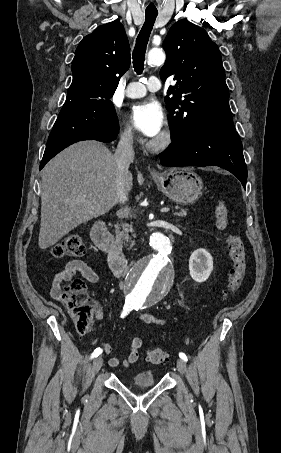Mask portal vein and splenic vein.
Listing matches in <instances>:
<instances>
[{"label":"portal vein and splenic vein","mask_w":281,"mask_h":453,"mask_svg":"<svg viewBox=\"0 0 281 453\" xmlns=\"http://www.w3.org/2000/svg\"><path fill=\"white\" fill-rule=\"evenodd\" d=\"M161 211H162V212H172V211H173V208H172V207H168V208H165V207H164Z\"/></svg>","instance_id":"portal-vein-and-splenic-vein-1"}]
</instances>
